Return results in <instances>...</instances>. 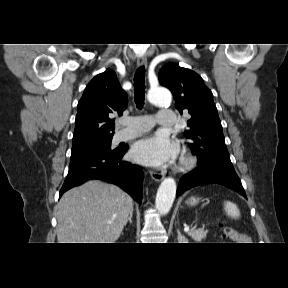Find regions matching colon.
<instances>
[{
	"mask_svg": "<svg viewBox=\"0 0 288 288\" xmlns=\"http://www.w3.org/2000/svg\"><path fill=\"white\" fill-rule=\"evenodd\" d=\"M219 226L221 228L223 238L232 242L240 240L241 235L236 230L232 229L224 223H220Z\"/></svg>",
	"mask_w": 288,
	"mask_h": 288,
	"instance_id": "5ec220e1",
	"label": "colon"
}]
</instances>
